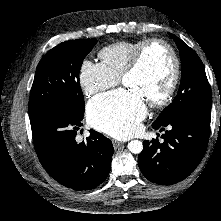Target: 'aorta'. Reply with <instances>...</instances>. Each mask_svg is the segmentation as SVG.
Segmentation results:
<instances>
[{"instance_id": "aorta-1", "label": "aorta", "mask_w": 221, "mask_h": 221, "mask_svg": "<svg viewBox=\"0 0 221 221\" xmlns=\"http://www.w3.org/2000/svg\"><path fill=\"white\" fill-rule=\"evenodd\" d=\"M128 149L130 152L134 154H139L143 150V144L139 140H132L128 143L127 145Z\"/></svg>"}]
</instances>
